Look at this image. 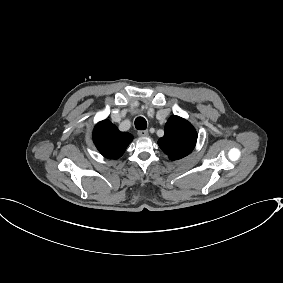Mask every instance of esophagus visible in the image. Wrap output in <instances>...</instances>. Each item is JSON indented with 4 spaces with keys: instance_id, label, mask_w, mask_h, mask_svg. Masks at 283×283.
<instances>
[{
    "instance_id": "obj_1",
    "label": "esophagus",
    "mask_w": 283,
    "mask_h": 283,
    "mask_svg": "<svg viewBox=\"0 0 283 283\" xmlns=\"http://www.w3.org/2000/svg\"><path fill=\"white\" fill-rule=\"evenodd\" d=\"M137 134H138L139 136H147V135H148V131H147V130H139V131L137 132Z\"/></svg>"
}]
</instances>
